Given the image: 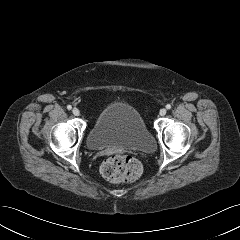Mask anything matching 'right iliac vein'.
Segmentation results:
<instances>
[{
    "label": "right iliac vein",
    "instance_id": "right-iliac-vein-1",
    "mask_svg": "<svg viewBox=\"0 0 240 240\" xmlns=\"http://www.w3.org/2000/svg\"><path fill=\"white\" fill-rule=\"evenodd\" d=\"M72 113H73V115H75V116H79V115H80V111H79V109H77V108H73Z\"/></svg>",
    "mask_w": 240,
    "mask_h": 240
}]
</instances>
